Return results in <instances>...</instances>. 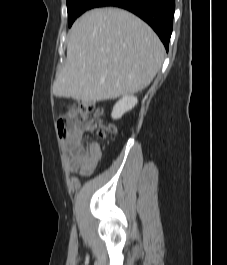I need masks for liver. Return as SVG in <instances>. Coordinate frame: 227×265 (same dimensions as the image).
Listing matches in <instances>:
<instances>
[{"label": "liver", "mask_w": 227, "mask_h": 265, "mask_svg": "<svg viewBox=\"0 0 227 265\" xmlns=\"http://www.w3.org/2000/svg\"><path fill=\"white\" fill-rule=\"evenodd\" d=\"M164 55L155 32L132 13L91 10L69 31L67 60L56 74L54 94L85 102L134 94L150 85Z\"/></svg>", "instance_id": "6515ba94"}]
</instances>
